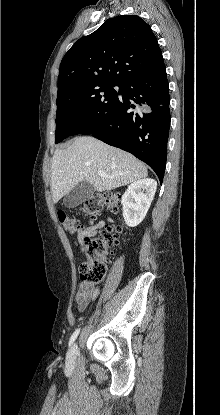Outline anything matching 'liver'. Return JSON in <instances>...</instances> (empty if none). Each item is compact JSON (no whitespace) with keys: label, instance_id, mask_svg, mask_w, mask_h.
Segmentation results:
<instances>
[{"label":"liver","instance_id":"obj_1","mask_svg":"<svg viewBox=\"0 0 220 415\" xmlns=\"http://www.w3.org/2000/svg\"><path fill=\"white\" fill-rule=\"evenodd\" d=\"M99 171L106 176H99ZM147 176L146 165L130 153L94 137H78L67 148L54 152L51 165L53 202L57 203L82 181H88L97 192H104Z\"/></svg>","mask_w":220,"mask_h":415}]
</instances>
